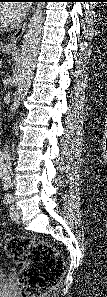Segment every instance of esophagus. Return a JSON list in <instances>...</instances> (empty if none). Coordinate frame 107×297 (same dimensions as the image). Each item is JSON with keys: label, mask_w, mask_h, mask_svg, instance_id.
<instances>
[{"label": "esophagus", "mask_w": 107, "mask_h": 297, "mask_svg": "<svg viewBox=\"0 0 107 297\" xmlns=\"http://www.w3.org/2000/svg\"><path fill=\"white\" fill-rule=\"evenodd\" d=\"M25 27H26V22L20 26L12 35L11 37L8 39V41L5 44L6 48H15L18 41L20 40V38L22 37L24 31H25Z\"/></svg>", "instance_id": "34e87169"}]
</instances>
